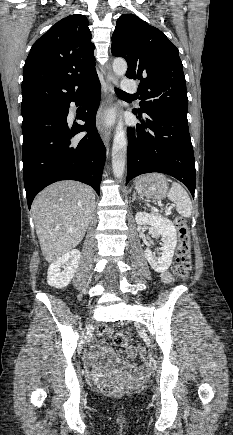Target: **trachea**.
Here are the masks:
<instances>
[{
  "label": "trachea",
  "instance_id": "1",
  "mask_svg": "<svg viewBox=\"0 0 233 435\" xmlns=\"http://www.w3.org/2000/svg\"><path fill=\"white\" fill-rule=\"evenodd\" d=\"M115 91H116L117 93H120V94H126L125 92H123L122 90H120V89H118V88H115Z\"/></svg>",
  "mask_w": 233,
  "mask_h": 435
}]
</instances>
